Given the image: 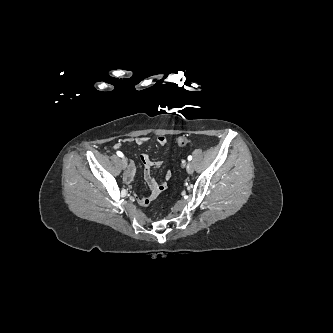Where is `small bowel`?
I'll return each mask as SVG.
<instances>
[{"mask_svg":"<svg viewBox=\"0 0 333 333\" xmlns=\"http://www.w3.org/2000/svg\"><path fill=\"white\" fill-rule=\"evenodd\" d=\"M126 140L128 142H135L137 145H143L144 143L147 142L148 138L140 136L136 138L129 137ZM157 142L159 145L165 146L167 144V139L164 136H159L157 138ZM120 147H121L120 143H116L114 145V149H118ZM139 159L144 166V177L150 188V194L148 196L138 197L137 202L141 206H148L161 192H163L166 189L167 184L166 182L158 183L157 181H155V179L152 176V169L160 167L162 162L159 161L153 162L149 159V157L146 154H141L139 156ZM135 171H136L135 164L133 161H131L124 175V180L127 184H131L133 182ZM170 176L171 174L168 171L165 174L166 180H168Z\"/></svg>","mask_w":333,"mask_h":333,"instance_id":"1","label":"small bowel"}]
</instances>
